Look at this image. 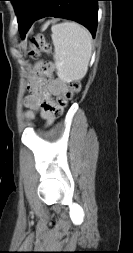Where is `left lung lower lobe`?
Listing matches in <instances>:
<instances>
[{"mask_svg":"<svg viewBox=\"0 0 133 253\" xmlns=\"http://www.w3.org/2000/svg\"><path fill=\"white\" fill-rule=\"evenodd\" d=\"M97 1L101 0H25L17 15L22 38L38 19L53 16L74 20L95 36L97 28Z\"/></svg>","mask_w":133,"mask_h":253,"instance_id":"1","label":"left lung lower lobe"}]
</instances>
